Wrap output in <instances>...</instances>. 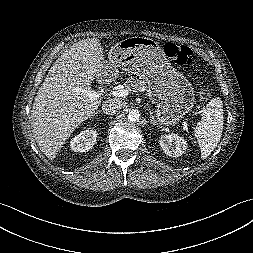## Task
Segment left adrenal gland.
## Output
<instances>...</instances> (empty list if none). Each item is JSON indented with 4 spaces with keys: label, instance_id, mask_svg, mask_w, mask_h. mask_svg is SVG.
Here are the masks:
<instances>
[{
    "label": "left adrenal gland",
    "instance_id": "obj_1",
    "mask_svg": "<svg viewBox=\"0 0 253 253\" xmlns=\"http://www.w3.org/2000/svg\"><path fill=\"white\" fill-rule=\"evenodd\" d=\"M150 122H151V124H153V125H158V126H160V125L157 123V121L154 119L153 116H150Z\"/></svg>",
    "mask_w": 253,
    "mask_h": 253
}]
</instances>
